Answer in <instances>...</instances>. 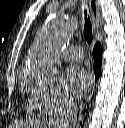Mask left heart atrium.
Returning <instances> with one entry per match:
<instances>
[{
    "label": "left heart atrium",
    "mask_w": 125,
    "mask_h": 128,
    "mask_svg": "<svg viewBox=\"0 0 125 128\" xmlns=\"http://www.w3.org/2000/svg\"><path fill=\"white\" fill-rule=\"evenodd\" d=\"M91 84V75L78 65L68 67L62 74L60 85L64 92L73 98L81 97Z\"/></svg>",
    "instance_id": "left-heart-atrium-1"
}]
</instances>
